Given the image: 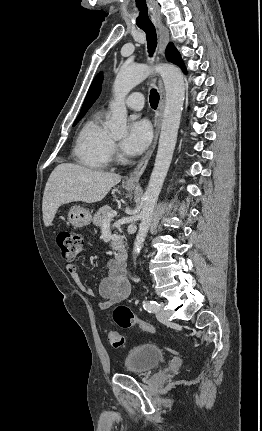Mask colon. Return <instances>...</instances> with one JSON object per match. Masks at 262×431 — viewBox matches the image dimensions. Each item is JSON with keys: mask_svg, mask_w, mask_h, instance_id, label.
Here are the masks:
<instances>
[{"mask_svg": "<svg viewBox=\"0 0 262 431\" xmlns=\"http://www.w3.org/2000/svg\"><path fill=\"white\" fill-rule=\"evenodd\" d=\"M57 244L63 260L66 262H73L83 251L85 241L84 238L77 233L61 231L57 235ZM113 319L121 327L137 326L140 330L147 333L156 332V328L153 325L139 320L126 305H119L114 309ZM108 340L110 344L116 348L123 346L125 342L123 336L115 330H110L108 332Z\"/></svg>", "mask_w": 262, "mask_h": 431, "instance_id": "5ec220e1", "label": "colon"}]
</instances>
